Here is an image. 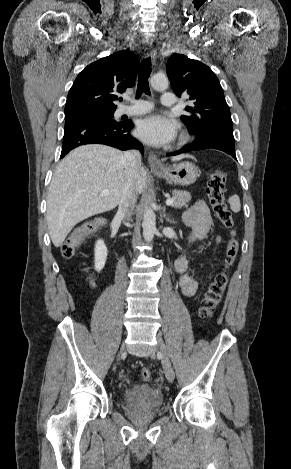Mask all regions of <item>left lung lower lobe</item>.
<instances>
[{"mask_svg": "<svg viewBox=\"0 0 291 469\" xmlns=\"http://www.w3.org/2000/svg\"><path fill=\"white\" fill-rule=\"evenodd\" d=\"M207 148L219 149L236 159L233 134L220 131L207 132L201 136H197L191 145L185 146L179 151L170 153L168 156H174L192 150H201Z\"/></svg>", "mask_w": 291, "mask_h": 469, "instance_id": "obj_1", "label": "left lung lower lobe"}]
</instances>
